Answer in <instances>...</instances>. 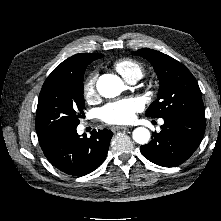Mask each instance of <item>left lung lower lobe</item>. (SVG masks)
Instances as JSON below:
<instances>
[{
    "instance_id": "0a47b994",
    "label": "left lung lower lobe",
    "mask_w": 221,
    "mask_h": 221,
    "mask_svg": "<svg viewBox=\"0 0 221 221\" xmlns=\"http://www.w3.org/2000/svg\"><path fill=\"white\" fill-rule=\"evenodd\" d=\"M164 125L152 140L140 147L151 162L163 167H175L186 161L199 146L205 130V118L181 114L163 118Z\"/></svg>"
}]
</instances>
